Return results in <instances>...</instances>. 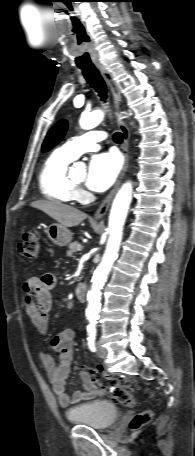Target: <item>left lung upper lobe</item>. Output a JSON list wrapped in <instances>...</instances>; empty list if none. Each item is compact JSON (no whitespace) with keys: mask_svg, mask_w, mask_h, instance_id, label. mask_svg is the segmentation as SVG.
I'll return each instance as SVG.
<instances>
[{"mask_svg":"<svg viewBox=\"0 0 195 456\" xmlns=\"http://www.w3.org/2000/svg\"><path fill=\"white\" fill-rule=\"evenodd\" d=\"M67 130V122L65 120H60L55 124L54 127L48 132L46 139L42 145V151L46 152L58 144L63 138Z\"/></svg>","mask_w":195,"mask_h":456,"instance_id":"left-lung-upper-lobe-1","label":"left lung upper lobe"}]
</instances>
